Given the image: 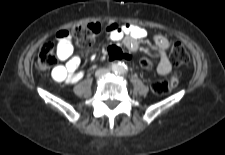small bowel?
<instances>
[{"label": "small bowel", "mask_w": 225, "mask_h": 155, "mask_svg": "<svg viewBox=\"0 0 225 155\" xmlns=\"http://www.w3.org/2000/svg\"><path fill=\"white\" fill-rule=\"evenodd\" d=\"M108 36L113 41L122 40L124 45L130 51H137L140 42L147 37V31L137 25L109 23L107 25ZM56 39L58 40L57 56L64 65L56 66L52 71V77L57 82L74 83L83 78V73L77 69L80 59L73 55V47L70 42L71 31L67 27H60L56 31ZM152 41L156 47L159 61L156 71L160 75H167L171 72L172 65L167 55L169 48V39L161 34L152 37Z\"/></svg>", "instance_id": "obj_1"}]
</instances>
